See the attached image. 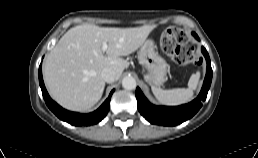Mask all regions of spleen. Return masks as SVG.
I'll list each match as a JSON object with an SVG mask.
<instances>
[{
  "instance_id": "3e777b00",
  "label": "spleen",
  "mask_w": 258,
  "mask_h": 158,
  "mask_svg": "<svg viewBox=\"0 0 258 158\" xmlns=\"http://www.w3.org/2000/svg\"><path fill=\"white\" fill-rule=\"evenodd\" d=\"M200 73L196 72L192 74L188 88H176L170 90H163L157 86H151L152 92L155 98L166 105H179L190 101L193 98L194 90L197 88L199 83Z\"/></svg>"
}]
</instances>
